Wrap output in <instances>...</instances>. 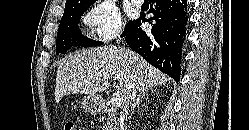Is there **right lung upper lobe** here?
I'll use <instances>...</instances> for the list:
<instances>
[{"label": "right lung upper lobe", "instance_id": "cb5924a9", "mask_svg": "<svg viewBox=\"0 0 249 130\" xmlns=\"http://www.w3.org/2000/svg\"><path fill=\"white\" fill-rule=\"evenodd\" d=\"M96 0H67L65 7L70 8H82L86 6H91Z\"/></svg>", "mask_w": 249, "mask_h": 130}]
</instances>
